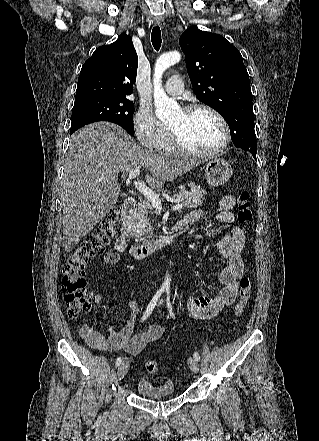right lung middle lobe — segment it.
Masks as SVG:
<instances>
[{
	"label": "right lung middle lobe",
	"instance_id": "right-lung-middle-lobe-1",
	"mask_svg": "<svg viewBox=\"0 0 319 441\" xmlns=\"http://www.w3.org/2000/svg\"><path fill=\"white\" fill-rule=\"evenodd\" d=\"M134 104L121 97H88L75 99L72 109L70 130L97 122L109 121L123 127L130 135L134 134Z\"/></svg>",
	"mask_w": 319,
	"mask_h": 441
}]
</instances>
